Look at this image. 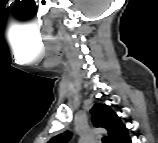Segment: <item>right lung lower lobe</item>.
Instances as JSON below:
<instances>
[{
    "instance_id": "obj_1",
    "label": "right lung lower lobe",
    "mask_w": 158,
    "mask_h": 143,
    "mask_svg": "<svg viewBox=\"0 0 158 143\" xmlns=\"http://www.w3.org/2000/svg\"><path fill=\"white\" fill-rule=\"evenodd\" d=\"M124 143H131V139L128 138L127 141H125Z\"/></svg>"
}]
</instances>
